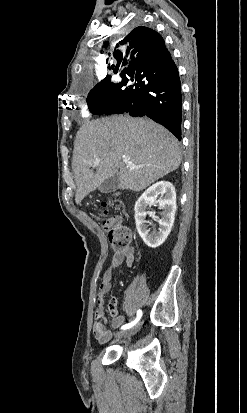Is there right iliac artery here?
Returning a JSON list of instances; mask_svg holds the SVG:
<instances>
[{"instance_id":"right-iliac-artery-1","label":"right iliac artery","mask_w":247,"mask_h":413,"mask_svg":"<svg viewBox=\"0 0 247 413\" xmlns=\"http://www.w3.org/2000/svg\"><path fill=\"white\" fill-rule=\"evenodd\" d=\"M141 316H142V310L139 309V310L137 311V317H136V319L133 320L132 322L128 323V324L123 325V326L121 327V329L126 330V329H129V328L133 327V326L140 320Z\"/></svg>"}]
</instances>
